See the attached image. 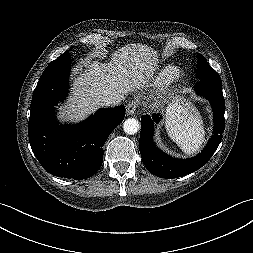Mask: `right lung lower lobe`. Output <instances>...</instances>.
<instances>
[{
  "instance_id": "98d812e1",
  "label": "right lung lower lobe",
  "mask_w": 253,
  "mask_h": 253,
  "mask_svg": "<svg viewBox=\"0 0 253 253\" xmlns=\"http://www.w3.org/2000/svg\"><path fill=\"white\" fill-rule=\"evenodd\" d=\"M71 57L51 62L34 90L29 141L42 167L52 175L85 179L101 167L108 136L123 121L125 107L101 108L77 125H59L54 106L68 92Z\"/></svg>"
}]
</instances>
